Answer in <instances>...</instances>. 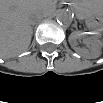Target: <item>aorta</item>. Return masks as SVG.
Wrapping results in <instances>:
<instances>
[{"instance_id":"obj_1","label":"aorta","mask_w":103,"mask_h":103,"mask_svg":"<svg viewBox=\"0 0 103 103\" xmlns=\"http://www.w3.org/2000/svg\"><path fill=\"white\" fill-rule=\"evenodd\" d=\"M56 20L62 26H69L72 22L71 12L66 9H60L56 14Z\"/></svg>"}]
</instances>
